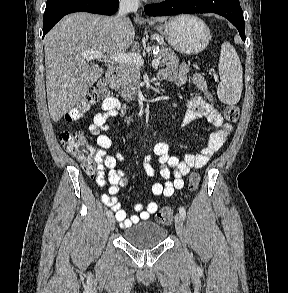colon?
Masks as SVG:
<instances>
[{
  "label": "colon",
  "instance_id": "obj_1",
  "mask_svg": "<svg viewBox=\"0 0 288 293\" xmlns=\"http://www.w3.org/2000/svg\"><path fill=\"white\" fill-rule=\"evenodd\" d=\"M110 95L111 92L107 84L104 81H99L76 106L66 113V121L74 122L82 119L94 107L108 99ZM224 115L227 121L235 123L239 117V109L236 106H227ZM59 140L65 150L81 165L85 173L94 176L96 172V151L88 142L86 136L79 131H62L59 134ZM199 184L200 175L193 172L188 180L189 190L191 192L196 191ZM173 216L174 208L166 206L157 212L156 219L160 224H169Z\"/></svg>",
  "mask_w": 288,
  "mask_h": 293
}]
</instances>
